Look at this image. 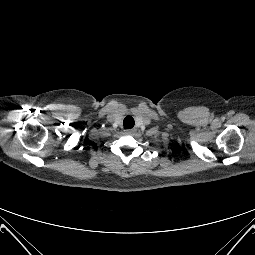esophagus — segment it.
Masks as SVG:
<instances>
[{
	"label": "esophagus",
	"mask_w": 255,
	"mask_h": 255,
	"mask_svg": "<svg viewBox=\"0 0 255 255\" xmlns=\"http://www.w3.org/2000/svg\"><path fill=\"white\" fill-rule=\"evenodd\" d=\"M126 133H128V134L133 133V129H127V130H126Z\"/></svg>",
	"instance_id": "34e87169"
}]
</instances>
